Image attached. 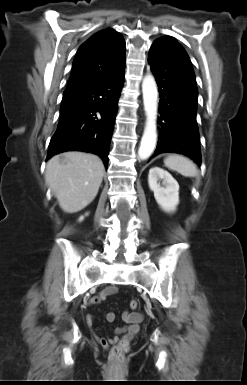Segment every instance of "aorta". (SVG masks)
I'll return each mask as SVG.
<instances>
[{
    "mask_svg": "<svg viewBox=\"0 0 247 385\" xmlns=\"http://www.w3.org/2000/svg\"><path fill=\"white\" fill-rule=\"evenodd\" d=\"M142 93L144 110L146 113V124L141 139L138 156L141 160H145L153 153L157 141V105H158V89L157 84L152 75H146L142 82Z\"/></svg>",
    "mask_w": 247,
    "mask_h": 385,
    "instance_id": "1",
    "label": "aorta"
}]
</instances>
